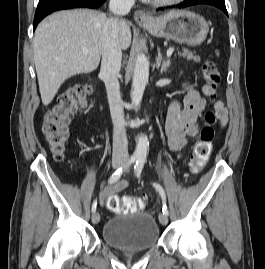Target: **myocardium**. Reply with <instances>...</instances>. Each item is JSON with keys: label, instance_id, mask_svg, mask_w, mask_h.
<instances>
[{"label": "myocardium", "instance_id": "myocardium-1", "mask_svg": "<svg viewBox=\"0 0 265 269\" xmlns=\"http://www.w3.org/2000/svg\"><path fill=\"white\" fill-rule=\"evenodd\" d=\"M181 1L183 0H150L151 3L158 6L172 5V4L179 3Z\"/></svg>", "mask_w": 265, "mask_h": 269}]
</instances>
